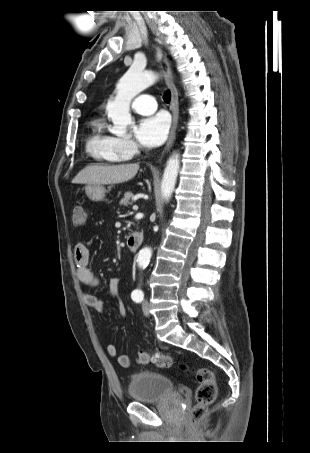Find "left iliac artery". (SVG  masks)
Listing matches in <instances>:
<instances>
[{
	"instance_id": "left-iliac-artery-1",
	"label": "left iliac artery",
	"mask_w": 310,
	"mask_h": 453,
	"mask_svg": "<svg viewBox=\"0 0 310 453\" xmlns=\"http://www.w3.org/2000/svg\"><path fill=\"white\" fill-rule=\"evenodd\" d=\"M131 297L132 299L135 301V302H141L144 298V293L142 292V290L140 289H136L132 292L131 294Z\"/></svg>"
}]
</instances>
